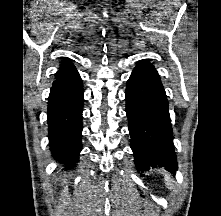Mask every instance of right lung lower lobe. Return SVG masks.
<instances>
[{
  "mask_svg": "<svg viewBox=\"0 0 221 216\" xmlns=\"http://www.w3.org/2000/svg\"><path fill=\"white\" fill-rule=\"evenodd\" d=\"M83 86L77 70L56 78L48 98L47 123L53 157L67 165L78 162L82 149Z\"/></svg>",
  "mask_w": 221,
  "mask_h": 216,
  "instance_id": "obj_1",
  "label": "right lung lower lobe"
}]
</instances>
